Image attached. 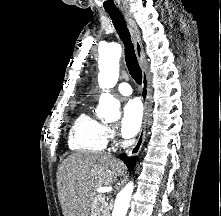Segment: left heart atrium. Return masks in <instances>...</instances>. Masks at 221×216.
Returning a JSON list of instances; mask_svg holds the SVG:
<instances>
[{
    "instance_id": "1",
    "label": "left heart atrium",
    "mask_w": 221,
    "mask_h": 216,
    "mask_svg": "<svg viewBox=\"0 0 221 216\" xmlns=\"http://www.w3.org/2000/svg\"><path fill=\"white\" fill-rule=\"evenodd\" d=\"M143 117L142 106L138 100H129L123 107L121 133L124 137L134 136L140 129Z\"/></svg>"
}]
</instances>
